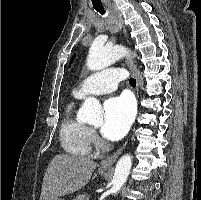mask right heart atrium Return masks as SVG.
<instances>
[{
  "label": "right heart atrium",
  "mask_w": 201,
  "mask_h": 200,
  "mask_svg": "<svg viewBox=\"0 0 201 200\" xmlns=\"http://www.w3.org/2000/svg\"><path fill=\"white\" fill-rule=\"evenodd\" d=\"M89 135H90L91 143H93V144H95V145H98L99 139H98V137H97L95 131L92 130V129H90Z\"/></svg>",
  "instance_id": "1"
}]
</instances>
